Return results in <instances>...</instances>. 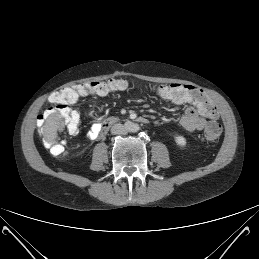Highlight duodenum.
Returning a JSON list of instances; mask_svg holds the SVG:
<instances>
[{
    "label": "duodenum",
    "mask_w": 259,
    "mask_h": 259,
    "mask_svg": "<svg viewBox=\"0 0 259 259\" xmlns=\"http://www.w3.org/2000/svg\"><path fill=\"white\" fill-rule=\"evenodd\" d=\"M120 121L119 118L117 117H112V118H108L106 119L102 124H101V129H100V136L104 135L113 125H115L116 123H118ZM132 121L138 122V123H142V124H147L149 122V120L146 117L143 116H138L132 119H125V122L131 123Z\"/></svg>",
    "instance_id": "1"
}]
</instances>
